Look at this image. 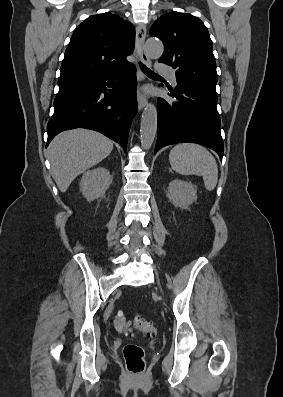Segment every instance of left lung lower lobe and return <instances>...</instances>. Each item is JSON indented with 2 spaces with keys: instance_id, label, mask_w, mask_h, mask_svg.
<instances>
[{
  "instance_id": "left-lung-lower-lobe-1",
  "label": "left lung lower lobe",
  "mask_w": 283,
  "mask_h": 397,
  "mask_svg": "<svg viewBox=\"0 0 283 397\" xmlns=\"http://www.w3.org/2000/svg\"><path fill=\"white\" fill-rule=\"evenodd\" d=\"M171 96L157 102L158 138L155 153L164 146L192 142L213 149L222 160L224 144L217 111V95L177 83Z\"/></svg>"
}]
</instances>
